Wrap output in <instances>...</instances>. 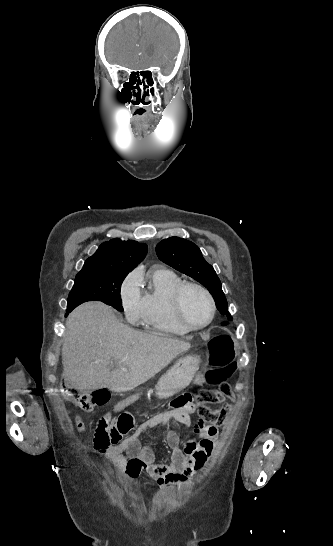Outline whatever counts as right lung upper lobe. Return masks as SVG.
<instances>
[{
    "label": "right lung upper lobe",
    "instance_id": "cb5924a9",
    "mask_svg": "<svg viewBox=\"0 0 333 546\" xmlns=\"http://www.w3.org/2000/svg\"><path fill=\"white\" fill-rule=\"evenodd\" d=\"M147 245L133 240L112 239L100 245L94 255L89 257L77 275L96 267L116 270H133L146 256Z\"/></svg>",
    "mask_w": 333,
    "mask_h": 546
}]
</instances>
